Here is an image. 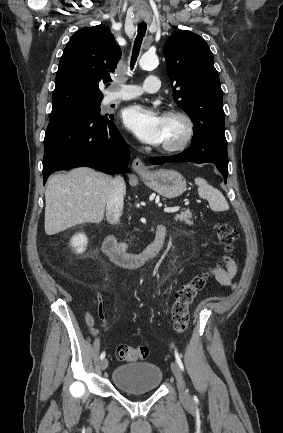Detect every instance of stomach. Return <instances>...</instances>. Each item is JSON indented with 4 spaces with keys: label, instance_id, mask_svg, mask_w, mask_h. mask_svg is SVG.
<instances>
[{
    "label": "stomach",
    "instance_id": "obj_1",
    "mask_svg": "<svg viewBox=\"0 0 283 433\" xmlns=\"http://www.w3.org/2000/svg\"><path fill=\"white\" fill-rule=\"evenodd\" d=\"M139 174L147 186L166 198H175L186 190V180L177 170L160 168V170H141Z\"/></svg>",
    "mask_w": 283,
    "mask_h": 433
}]
</instances>
